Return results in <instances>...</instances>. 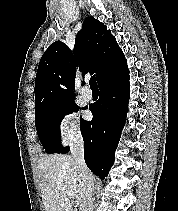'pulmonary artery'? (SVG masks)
Wrapping results in <instances>:
<instances>
[{
  "instance_id": "1",
  "label": "pulmonary artery",
  "mask_w": 178,
  "mask_h": 211,
  "mask_svg": "<svg viewBox=\"0 0 178 211\" xmlns=\"http://www.w3.org/2000/svg\"><path fill=\"white\" fill-rule=\"evenodd\" d=\"M82 94H83V97H84L87 101L91 100L92 97H93L92 90H91V88H90L88 85H86V86L84 87Z\"/></svg>"
}]
</instances>
